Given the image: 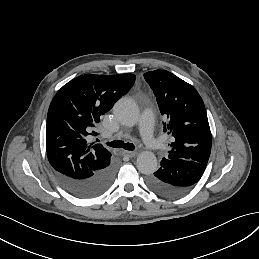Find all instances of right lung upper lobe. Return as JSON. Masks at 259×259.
<instances>
[{"label":"right lung upper lobe","instance_id":"1","mask_svg":"<svg viewBox=\"0 0 259 259\" xmlns=\"http://www.w3.org/2000/svg\"><path fill=\"white\" fill-rule=\"evenodd\" d=\"M134 74L79 76L54 96L47 115L46 151L54 171L86 179L110 165L111 153L102 144L88 143L102 115L125 95Z\"/></svg>","mask_w":259,"mask_h":259}]
</instances>
